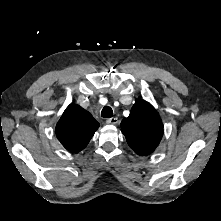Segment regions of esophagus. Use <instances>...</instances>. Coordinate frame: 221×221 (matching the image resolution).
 Returning a JSON list of instances; mask_svg holds the SVG:
<instances>
[{
    "label": "esophagus",
    "mask_w": 221,
    "mask_h": 221,
    "mask_svg": "<svg viewBox=\"0 0 221 221\" xmlns=\"http://www.w3.org/2000/svg\"><path fill=\"white\" fill-rule=\"evenodd\" d=\"M106 123L107 124H117L118 123V118H116V117H113V118H109V119H107L106 120Z\"/></svg>",
    "instance_id": "1"
}]
</instances>
